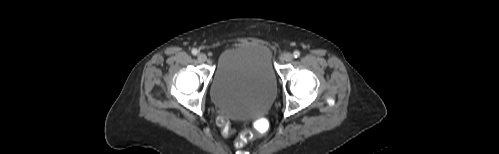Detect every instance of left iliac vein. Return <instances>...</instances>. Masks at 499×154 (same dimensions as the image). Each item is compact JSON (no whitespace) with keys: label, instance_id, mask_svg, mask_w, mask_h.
<instances>
[{"label":"left iliac vein","instance_id":"left-iliac-vein-1","mask_svg":"<svg viewBox=\"0 0 499 154\" xmlns=\"http://www.w3.org/2000/svg\"><path fill=\"white\" fill-rule=\"evenodd\" d=\"M283 59L286 62H291L293 60V55L291 53H286V54H284Z\"/></svg>","mask_w":499,"mask_h":154}]
</instances>
